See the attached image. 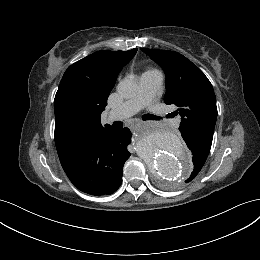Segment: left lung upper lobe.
Wrapping results in <instances>:
<instances>
[{
    "label": "left lung upper lobe",
    "instance_id": "5c2ea615",
    "mask_svg": "<svg viewBox=\"0 0 260 260\" xmlns=\"http://www.w3.org/2000/svg\"><path fill=\"white\" fill-rule=\"evenodd\" d=\"M157 62L166 74V104L177 106L181 116L179 130L207 151H210L217 119L216 97L205 74L183 55L168 50L142 49ZM192 152V151H191ZM193 156V155H192ZM193 159V157H192ZM206 158H197L194 170L203 167Z\"/></svg>",
    "mask_w": 260,
    "mask_h": 260
}]
</instances>
